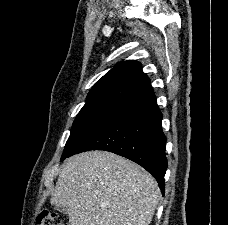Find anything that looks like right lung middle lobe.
<instances>
[{"label": "right lung middle lobe", "instance_id": "1", "mask_svg": "<svg viewBox=\"0 0 228 225\" xmlns=\"http://www.w3.org/2000/svg\"><path fill=\"white\" fill-rule=\"evenodd\" d=\"M141 91L138 88L120 83L93 87L88 94L85 105L73 123L71 134L66 142L61 160L93 128L111 116Z\"/></svg>", "mask_w": 228, "mask_h": 225}]
</instances>
